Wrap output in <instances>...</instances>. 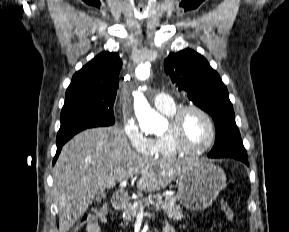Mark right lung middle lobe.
Listing matches in <instances>:
<instances>
[{
	"label": "right lung middle lobe",
	"mask_w": 289,
	"mask_h": 232,
	"mask_svg": "<svg viewBox=\"0 0 289 232\" xmlns=\"http://www.w3.org/2000/svg\"><path fill=\"white\" fill-rule=\"evenodd\" d=\"M114 101L115 97L105 96L78 97L65 101L60 116L57 146L63 145L84 129L113 125Z\"/></svg>",
	"instance_id": "dd1d6c3e"
}]
</instances>
